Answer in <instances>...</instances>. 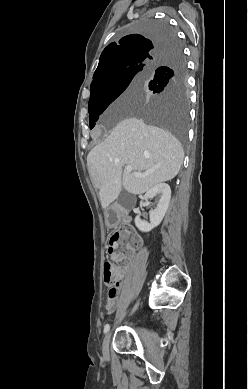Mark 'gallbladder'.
Returning a JSON list of instances; mask_svg holds the SVG:
<instances>
[{
    "mask_svg": "<svg viewBox=\"0 0 248 389\" xmlns=\"http://www.w3.org/2000/svg\"><path fill=\"white\" fill-rule=\"evenodd\" d=\"M132 198L127 191L122 190L118 196V203L128 208L131 204Z\"/></svg>",
    "mask_w": 248,
    "mask_h": 389,
    "instance_id": "obj_1",
    "label": "gallbladder"
}]
</instances>
